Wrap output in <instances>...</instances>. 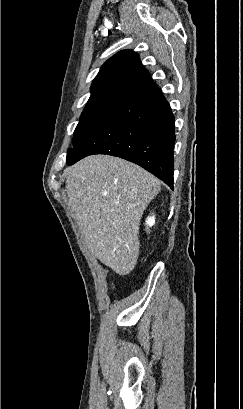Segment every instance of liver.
Instances as JSON below:
<instances>
[{"label":"liver","mask_w":243,"mask_h":409,"mask_svg":"<svg viewBox=\"0 0 243 409\" xmlns=\"http://www.w3.org/2000/svg\"><path fill=\"white\" fill-rule=\"evenodd\" d=\"M65 174L68 206L89 250L117 274H129L139 254L140 220L160 181L109 155L86 157Z\"/></svg>","instance_id":"6515ba94"}]
</instances>
